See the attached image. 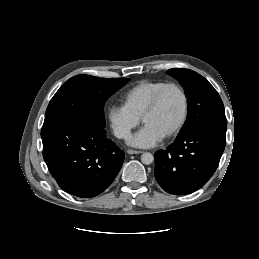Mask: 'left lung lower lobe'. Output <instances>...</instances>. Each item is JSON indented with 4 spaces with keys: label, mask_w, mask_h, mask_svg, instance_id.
<instances>
[{
    "label": "left lung lower lobe",
    "mask_w": 259,
    "mask_h": 259,
    "mask_svg": "<svg viewBox=\"0 0 259 259\" xmlns=\"http://www.w3.org/2000/svg\"><path fill=\"white\" fill-rule=\"evenodd\" d=\"M227 123L194 127L165 150L154 154L155 178L168 193L189 194L201 188L216 171L225 148Z\"/></svg>",
    "instance_id": "1"
}]
</instances>
